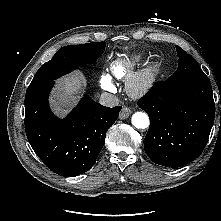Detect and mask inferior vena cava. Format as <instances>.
I'll use <instances>...</instances> for the list:
<instances>
[{
    "label": "inferior vena cava",
    "instance_id": "obj_1",
    "mask_svg": "<svg viewBox=\"0 0 221 221\" xmlns=\"http://www.w3.org/2000/svg\"><path fill=\"white\" fill-rule=\"evenodd\" d=\"M100 104L107 107H115L119 104V99L110 93H102L100 97Z\"/></svg>",
    "mask_w": 221,
    "mask_h": 221
}]
</instances>
